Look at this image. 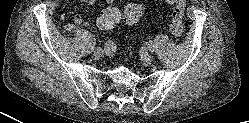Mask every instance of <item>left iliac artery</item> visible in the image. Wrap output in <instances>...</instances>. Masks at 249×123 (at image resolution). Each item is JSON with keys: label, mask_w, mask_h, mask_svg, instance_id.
Listing matches in <instances>:
<instances>
[{"label": "left iliac artery", "mask_w": 249, "mask_h": 123, "mask_svg": "<svg viewBox=\"0 0 249 123\" xmlns=\"http://www.w3.org/2000/svg\"><path fill=\"white\" fill-rule=\"evenodd\" d=\"M147 47H148L149 51H151V52L154 51V48H153L152 43H148V44H147Z\"/></svg>", "instance_id": "1"}]
</instances>
